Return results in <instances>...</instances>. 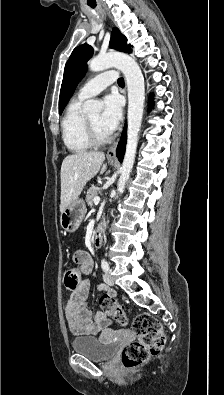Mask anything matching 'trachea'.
I'll use <instances>...</instances> for the list:
<instances>
[{
	"mask_svg": "<svg viewBox=\"0 0 224 395\" xmlns=\"http://www.w3.org/2000/svg\"><path fill=\"white\" fill-rule=\"evenodd\" d=\"M118 85H120V86H124L125 85L124 79L122 77L118 79Z\"/></svg>",
	"mask_w": 224,
	"mask_h": 395,
	"instance_id": "3493384b",
	"label": "trachea"
}]
</instances>
